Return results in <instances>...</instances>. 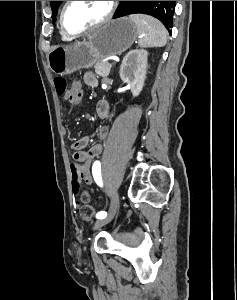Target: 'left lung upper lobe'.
<instances>
[{
	"label": "left lung upper lobe",
	"instance_id": "1",
	"mask_svg": "<svg viewBox=\"0 0 237 300\" xmlns=\"http://www.w3.org/2000/svg\"><path fill=\"white\" fill-rule=\"evenodd\" d=\"M61 3L62 1H50L52 18L56 16ZM174 8L175 4L164 5V1H120L115 18L135 13L148 14L159 19L171 33Z\"/></svg>",
	"mask_w": 237,
	"mask_h": 300
}]
</instances>
